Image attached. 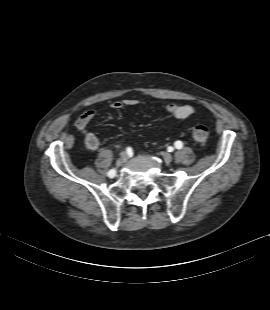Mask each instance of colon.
Instances as JSON below:
<instances>
[{
  "instance_id": "obj_1",
  "label": "colon",
  "mask_w": 270,
  "mask_h": 310,
  "mask_svg": "<svg viewBox=\"0 0 270 310\" xmlns=\"http://www.w3.org/2000/svg\"><path fill=\"white\" fill-rule=\"evenodd\" d=\"M193 139L198 143H205L208 140L209 130L204 125H196L192 131Z\"/></svg>"
}]
</instances>
